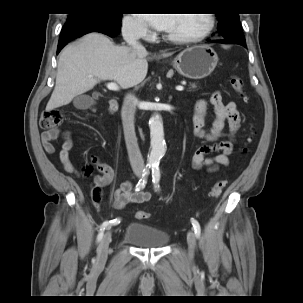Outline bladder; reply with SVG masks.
I'll return each mask as SVG.
<instances>
[{
    "mask_svg": "<svg viewBox=\"0 0 303 303\" xmlns=\"http://www.w3.org/2000/svg\"><path fill=\"white\" fill-rule=\"evenodd\" d=\"M124 238L140 248H159L169 241V235L166 232L141 223H130L126 228Z\"/></svg>",
    "mask_w": 303,
    "mask_h": 303,
    "instance_id": "31cf9c89",
    "label": "bladder"
}]
</instances>
